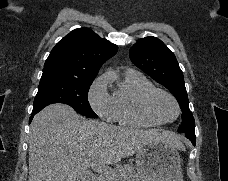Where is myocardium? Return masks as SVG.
Wrapping results in <instances>:
<instances>
[{
	"instance_id": "myocardium-1",
	"label": "myocardium",
	"mask_w": 228,
	"mask_h": 181,
	"mask_svg": "<svg viewBox=\"0 0 228 181\" xmlns=\"http://www.w3.org/2000/svg\"><path fill=\"white\" fill-rule=\"evenodd\" d=\"M155 93H160V94L166 96L171 101L175 114L178 113V105H177L175 99L169 93H167L166 91L161 90V89L151 88V89L145 91L141 96L140 103H139V110H140L141 115L145 119H147L151 122H154V123H166V122L171 121L170 119H167V120L157 119L152 114L150 106H149V100H150L151 96Z\"/></svg>"
}]
</instances>
